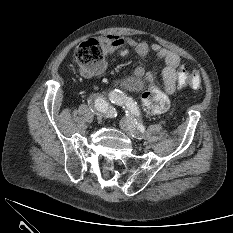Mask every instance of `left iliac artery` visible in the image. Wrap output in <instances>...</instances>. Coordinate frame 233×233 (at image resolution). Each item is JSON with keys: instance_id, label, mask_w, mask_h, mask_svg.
I'll return each instance as SVG.
<instances>
[{"instance_id": "left-iliac-artery-1", "label": "left iliac artery", "mask_w": 233, "mask_h": 233, "mask_svg": "<svg viewBox=\"0 0 233 233\" xmlns=\"http://www.w3.org/2000/svg\"><path fill=\"white\" fill-rule=\"evenodd\" d=\"M109 99L112 103L121 105L123 107H127V109L135 116L139 115V110L136 105V102L132 100V98L127 97L126 94L121 92L120 90H115L109 94ZM127 112V111H126ZM133 125L139 129L142 133L144 132L145 128L142 123L136 117L131 118Z\"/></svg>"}]
</instances>
